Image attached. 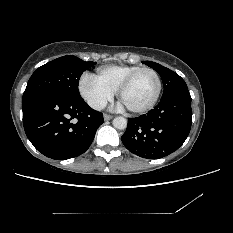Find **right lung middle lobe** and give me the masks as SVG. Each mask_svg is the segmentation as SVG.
<instances>
[{
  "label": "right lung middle lobe",
  "mask_w": 233,
  "mask_h": 233,
  "mask_svg": "<svg viewBox=\"0 0 233 233\" xmlns=\"http://www.w3.org/2000/svg\"><path fill=\"white\" fill-rule=\"evenodd\" d=\"M93 65H95L94 62H85L72 55L48 62L32 74L24 91L23 99L45 92L80 97L78 90L80 76Z\"/></svg>",
  "instance_id": "dd1d6c3e"
}]
</instances>
